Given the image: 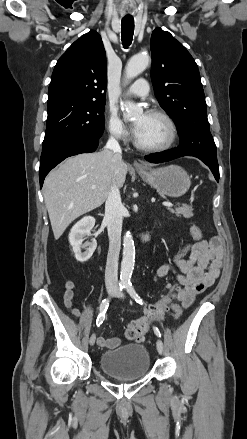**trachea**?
Masks as SVG:
<instances>
[{
  "label": "trachea",
  "mask_w": 247,
  "mask_h": 439,
  "mask_svg": "<svg viewBox=\"0 0 247 439\" xmlns=\"http://www.w3.org/2000/svg\"><path fill=\"white\" fill-rule=\"evenodd\" d=\"M134 33V19L133 17H124L122 19V27H121V39L122 44L125 48H127L132 40Z\"/></svg>",
  "instance_id": "obj_1"
}]
</instances>
